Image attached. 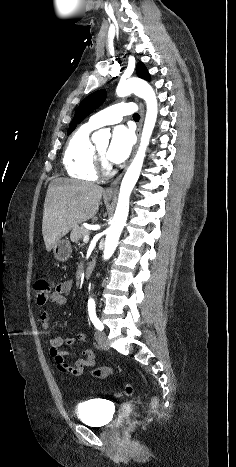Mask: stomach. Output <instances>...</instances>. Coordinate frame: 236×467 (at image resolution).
I'll list each match as a JSON object with an SVG mask.
<instances>
[{
	"instance_id": "stomach-1",
	"label": "stomach",
	"mask_w": 236,
	"mask_h": 467,
	"mask_svg": "<svg viewBox=\"0 0 236 467\" xmlns=\"http://www.w3.org/2000/svg\"><path fill=\"white\" fill-rule=\"evenodd\" d=\"M105 199L110 200L111 198L105 197ZM53 253L57 260L62 262L66 261L72 253L70 242L65 239L58 240L53 247Z\"/></svg>"
}]
</instances>
